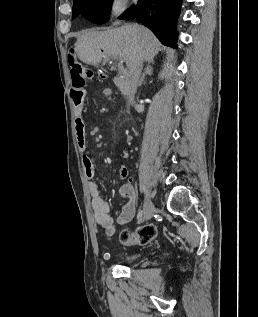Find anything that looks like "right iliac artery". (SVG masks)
<instances>
[{
  "label": "right iliac artery",
  "instance_id": "82829eb1",
  "mask_svg": "<svg viewBox=\"0 0 258 317\" xmlns=\"http://www.w3.org/2000/svg\"><path fill=\"white\" fill-rule=\"evenodd\" d=\"M142 215H143L142 210H139L138 215H137V219L141 218V217H142Z\"/></svg>",
  "mask_w": 258,
  "mask_h": 317
}]
</instances>
